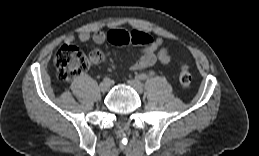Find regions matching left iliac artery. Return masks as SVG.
I'll list each match as a JSON object with an SVG mask.
<instances>
[{
	"instance_id": "obj_1",
	"label": "left iliac artery",
	"mask_w": 259,
	"mask_h": 156,
	"mask_svg": "<svg viewBox=\"0 0 259 156\" xmlns=\"http://www.w3.org/2000/svg\"><path fill=\"white\" fill-rule=\"evenodd\" d=\"M147 78H148V76L145 73H141L138 75V79H140V80H146Z\"/></svg>"
}]
</instances>
